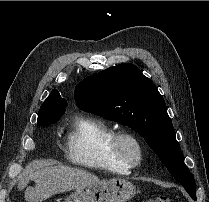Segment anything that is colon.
Here are the masks:
<instances>
[{
	"label": "colon",
	"mask_w": 209,
	"mask_h": 202,
	"mask_svg": "<svg viewBox=\"0 0 209 202\" xmlns=\"http://www.w3.org/2000/svg\"><path fill=\"white\" fill-rule=\"evenodd\" d=\"M145 202H170L168 197H156L146 200Z\"/></svg>",
	"instance_id": "obj_1"
}]
</instances>
